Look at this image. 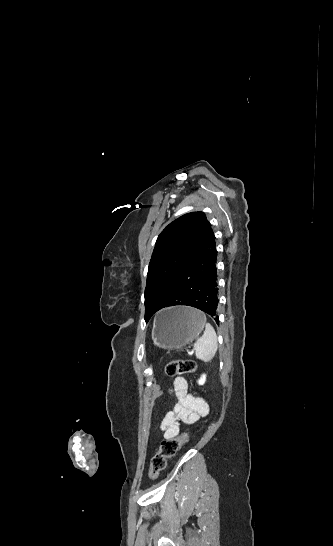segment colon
<instances>
[{"mask_svg": "<svg viewBox=\"0 0 333 546\" xmlns=\"http://www.w3.org/2000/svg\"><path fill=\"white\" fill-rule=\"evenodd\" d=\"M196 370V364L192 360H172L165 365V375L174 377L182 374H192ZM189 433L164 439L157 453L152 457L149 468V477L155 479L165 469L166 462L190 439Z\"/></svg>", "mask_w": 333, "mask_h": 546, "instance_id": "5ec220e1", "label": "colon"}]
</instances>
